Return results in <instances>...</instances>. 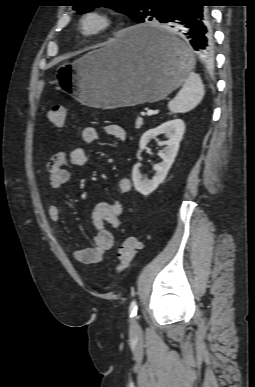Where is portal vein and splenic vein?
Wrapping results in <instances>:
<instances>
[{
    "mask_svg": "<svg viewBox=\"0 0 255 387\" xmlns=\"http://www.w3.org/2000/svg\"><path fill=\"white\" fill-rule=\"evenodd\" d=\"M146 114H147L148 116H151V115L154 114V110L150 109V110L147 111Z\"/></svg>",
    "mask_w": 255,
    "mask_h": 387,
    "instance_id": "18ae733b",
    "label": "portal vein and splenic vein"
}]
</instances>
